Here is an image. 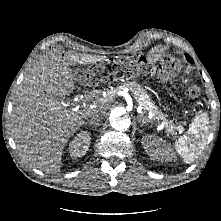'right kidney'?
Masks as SVG:
<instances>
[{"label": "right kidney", "instance_id": "right-kidney-1", "mask_svg": "<svg viewBox=\"0 0 221 221\" xmlns=\"http://www.w3.org/2000/svg\"><path fill=\"white\" fill-rule=\"evenodd\" d=\"M90 133L81 132L69 143L68 151L73 158L84 156L90 146Z\"/></svg>", "mask_w": 221, "mask_h": 221}]
</instances>
